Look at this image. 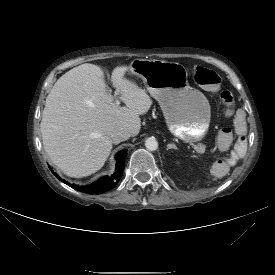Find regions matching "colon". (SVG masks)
Instances as JSON below:
<instances>
[{
  "label": "colon",
  "mask_w": 275,
  "mask_h": 275,
  "mask_svg": "<svg viewBox=\"0 0 275 275\" xmlns=\"http://www.w3.org/2000/svg\"><path fill=\"white\" fill-rule=\"evenodd\" d=\"M194 80L197 84L205 87L210 91H217L220 84L221 78L220 76L213 70L204 68V67H196L194 70ZM219 98L221 103L225 108H230L233 102L232 95L229 91L223 90L219 94ZM246 137L244 134H239L235 141L234 151H236L239 156H242L246 149Z\"/></svg>",
  "instance_id": "colon-1"
}]
</instances>
